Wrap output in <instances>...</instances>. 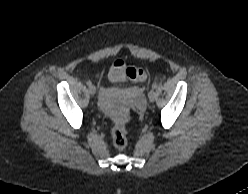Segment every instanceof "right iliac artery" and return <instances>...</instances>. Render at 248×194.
<instances>
[{"label":"right iliac artery","mask_w":248,"mask_h":194,"mask_svg":"<svg viewBox=\"0 0 248 194\" xmlns=\"http://www.w3.org/2000/svg\"><path fill=\"white\" fill-rule=\"evenodd\" d=\"M86 84H87V86H91L92 85V82L91 81H87Z\"/></svg>","instance_id":"obj_1"}]
</instances>
